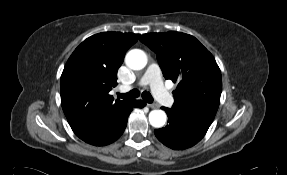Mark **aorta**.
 <instances>
[{
    "mask_svg": "<svg viewBox=\"0 0 287 175\" xmlns=\"http://www.w3.org/2000/svg\"><path fill=\"white\" fill-rule=\"evenodd\" d=\"M126 65L133 70H141L147 64V56L140 49L129 51L125 57ZM166 113L163 110H153L149 113V122L155 128H161L166 123Z\"/></svg>",
    "mask_w": 287,
    "mask_h": 175,
    "instance_id": "762f6f07",
    "label": "aorta"
}]
</instances>
